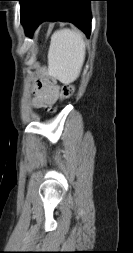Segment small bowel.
Returning <instances> with one entry per match:
<instances>
[{"mask_svg": "<svg viewBox=\"0 0 133 253\" xmlns=\"http://www.w3.org/2000/svg\"><path fill=\"white\" fill-rule=\"evenodd\" d=\"M36 72L37 74H42L43 71L42 69H37ZM33 92L32 106L35 108H44L55 104L60 96L61 88L54 79H40L34 85Z\"/></svg>", "mask_w": 133, "mask_h": 253, "instance_id": "c3829d8e", "label": "small bowel"}]
</instances>
